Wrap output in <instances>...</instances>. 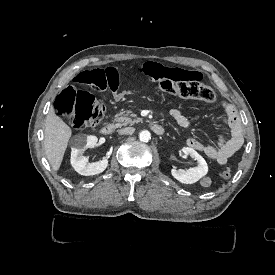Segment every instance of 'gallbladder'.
<instances>
[{
  "label": "gallbladder",
  "instance_id": "1",
  "mask_svg": "<svg viewBox=\"0 0 275 275\" xmlns=\"http://www.w3.org/2000/svg\"><path fill=\"white\" fill-rule=\"evenodd\" d=\"M65 115H66L67 117H69V118H70V117H73V112H72V113H69V114L66 113Z\"/></svg>",
  "mask_w": 275,
  "mask_h": 275
}]
</instances>
